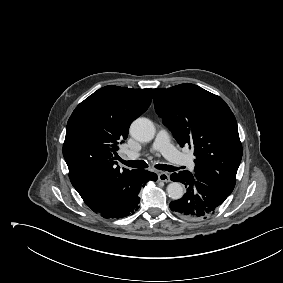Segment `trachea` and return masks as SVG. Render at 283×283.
<instances>
[{
	"label": "trachea",
	"mask_w": 283,
	"mask_h": 283,
	"mask_svg": "<svg viewBox=\"0 0 283 283\" xmlns=\"http://www.w3.org/2000/svg\"><path fill=\"white\" fill-rule=\"evenodd\" d=\"M120 161L123 164H125L126 166L133 167V168L143 169V168L148 167L147 163L143 160L125 161V160L120 159ZM155 168L160 169V170H165V171H168V172H173V171H176L178 169L177 167H174V166H171V165H166V164H157V165H155Z\"/></svg>",
	"instance_id": "1"
}]
</instances>
